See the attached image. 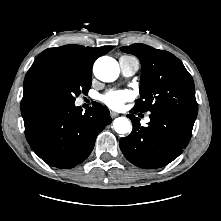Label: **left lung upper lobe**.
Returning a JSON list of instances; mask_svg holds the SVG:
<instances>
[{"label":"left lung upper lobe","instance_id":"obj_1","mask_svg":"<svg viewBox=\"0 0 221 221\" xmlns=\"http://www.w3.org/2000/svg\"><path fill=\"white\" fill-rule=\"evenodd\" d=\"M121 50L137 56L142 65L140 99L133 108L135 111L168 112L196 119L194 82L177 57L145 44L125 46Z\"/></svg>","mask_w":221,"mask_h":221}]
</instances>
